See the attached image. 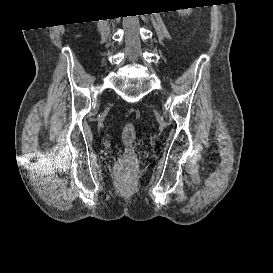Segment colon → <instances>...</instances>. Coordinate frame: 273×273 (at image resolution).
Segmentation results:
<instances>
[{
	"instance_id": "1",
	"label": "colon",
	"mask_w": 273,
	"mask_h": 273,
	"mask_svg": "<svg viewBox=\"0 0 273 273\" xmlns=\"http://www.w3.org/2000/svg\"><path fill=\"white\" fill-rule=\"evenodd\" d=\"M136 138L135 127L132 123H126L122 128V139L127 146V149L123 155L122 160L118 166V171L122 174L134 168L135 153L133 144Z\"/></svg>"
}]
</instances>
